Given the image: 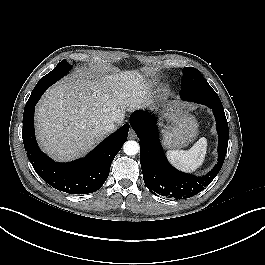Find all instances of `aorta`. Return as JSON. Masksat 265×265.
Wrapping results in <instances>:
<instances>
[{
  "mask_svg": "<svg viewBox=\"0 0 265 265\" xmlns=\"http://www.w3.org/2000/svg\"><path fill=\"white\" fill-rule=\"evenodd\" d=\"M123 151L126 155H136L139 152V144L136 141H127L123 145Z\"/></svg>",
  "mask_w": 265,
  "mask_h": 265,
  "instance_id": "obj_1",
  "label": "aorta"
}]
</instances>
